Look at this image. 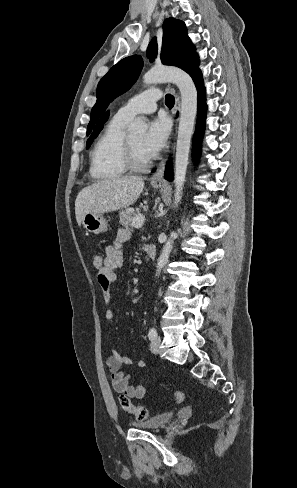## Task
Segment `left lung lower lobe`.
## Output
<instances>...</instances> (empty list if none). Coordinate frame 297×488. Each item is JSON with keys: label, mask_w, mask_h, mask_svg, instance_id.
<instances>
[{"label": "left lung lower lobe", "mask_w": 297, "mask_h": 488, "mask_svg": "<svg viewBox=\"0 0 297 488\" xmlns=\"http://www.w3.org/2000/svg\"><path fill=\"white\" fill-rule=\"evenodd\" d=\"M197 91H198V119L196 124V131L194 137V156H199L200 153V145L201 140L204 133V125H205V118H206V99H205V87L203 85V77L202 73H198L197 75L192 77ZM172 166L169 162L166 165L165 170V179L168 181H172Z\"/></svg>", "instance_id": "left-lung-lower-lobe-1"}]
</instances>
